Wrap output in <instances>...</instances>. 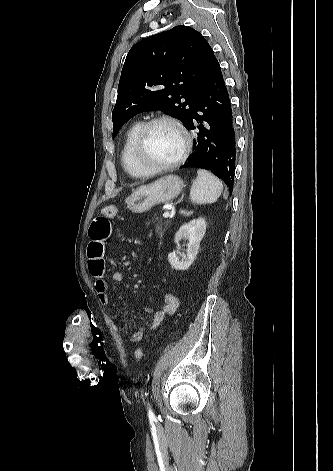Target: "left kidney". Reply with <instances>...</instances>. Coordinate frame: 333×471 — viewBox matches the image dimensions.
I'll list each match as a JSON object with an SVG mask.
<instances>
[{
    "instance_id": "1",
    "label": "left kidney",
    "mask_w": 333,
    "mask_h": 471,
    "mask_svg": "<svg viewBox=\"0 0 333 471\" xmlns=\"http://www.w3.org/2000/svg\"><path fill=\"white\" fill-rule=\"evenodd\" d=\"M207 223L204 218H198L183 224L175 234V243L179 247V242L184 239L188 240L187 255L185 260H180L177 250L168 254V260L172 268L176 270H187L193 263L198 254L200 242L205 235Z\"/></svg>"
}]
</instances>
